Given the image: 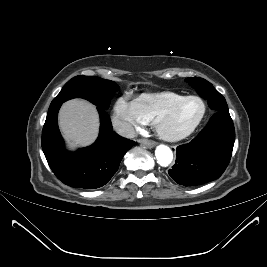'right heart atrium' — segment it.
<instances>
[{"mask_svg": "<svg viewBox=\"0 0 267 267\" xmlns=\"http://www.w3.org/2000/svg\"><path fill=\"white\" fill-rule=\"evenodd\" d=\"M113 123L121 134L131 136L137 129L147 125L148 121L140 111L137 101L123 95L114 104Z\"/></svg>", "mask_w": 267, "mask_h": 267, "instance_id": "obj_1", "label": "right heart atrium"}]
</instances>
